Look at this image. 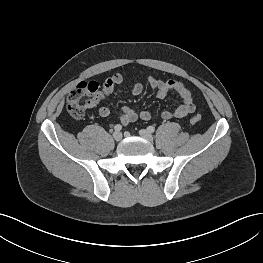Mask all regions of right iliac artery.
Returning a JSON list of instances; mask_svg holds the SVG:
<instances>
[{
	"label": "right iliac artery",
	"mask_w": 263,
	"mask_h": 263,
	"mask_svg": "<svg viewBox=\"0 0 263 263\" xmlns=\"http://www.w3.org/2000/svg\"><path fill=\"white\" fill-rule=\"evenodd\" d=\"M114 130L115 131H121L122 130V126L120 124H117V125H115Z\"/></svg>",
	"instance_id": "1"
}]
</instances>
